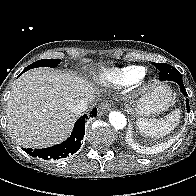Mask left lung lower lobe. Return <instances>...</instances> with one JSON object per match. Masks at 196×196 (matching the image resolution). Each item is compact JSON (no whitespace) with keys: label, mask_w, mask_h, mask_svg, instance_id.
Here are the masks:
<instances>
[{"label":"left lung lower lobe","mask_w":196,"mask_h":196,"mask_svg":"<svg viewBox=\"0 0 196 196\" xmlns=\"http://www.w3.org/2000/svg\"><path fill=\"white\" fill-rule=\"evenodd\" d=\"M158 67L161 69V73L164 75V76L159 77V79L160 80H170V81L176 82L177 84H179L180 90L182 91L183 95L188 97L186 89L183 85L182 77L177 75V73H172L174 71V69L171 68V66L168 64H163ZM167 71H169V72H167ZM187 111L189 112V100L188 99H187Z\"/></svg>","instance_id":"1"}]
</instances>
